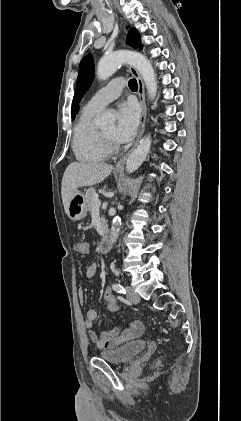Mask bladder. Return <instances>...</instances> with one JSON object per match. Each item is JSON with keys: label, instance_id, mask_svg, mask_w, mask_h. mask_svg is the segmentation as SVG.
<instances>
[{"label": "bladder", "instance_id": "obj_1", "mask_svg": "<svg viewBox=\"0 0 241 421\" xmlns=\"http://www.w3.org/2000/svg\"><path fill=\"white\" fill-rule=\"evenodd\" d=\"M146 347L145 340H134L118 348L102 351L99 357L109 363L125 364L135 359Z\"/></svg>", "mask_w": 241, "mask_h": 421}]
</instances>
